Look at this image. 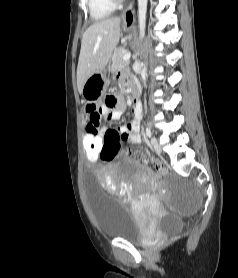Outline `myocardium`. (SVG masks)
I'll use <instances>...</instances> for the list:
<instances>
[{
    "label": "myocardium",
    "instance_id": "obj_1",
    "mask_svg": "<svg viewBox=\"0 0 238 278\" xmlns=\"http://www.w3.org/2000/svg\"><path fill=\"white\" fill-rule=\"evenodd\" d=\"M114 6L119 5L123 0H110Z\"/></svg>",
    "mask_w": 238,
    "mask_h": 278
}]
</instances>
